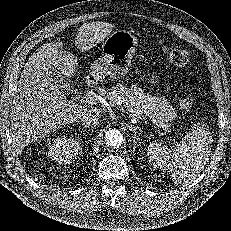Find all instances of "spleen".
I'll return each mask as SVG.
<instances>
[{
    "instance_id": "3e777b00",
    "label": "spleen",
    "mask_w": 231,
    "mask_h": 231,
    "mask_svg": "<svg viewBox=\"0 0 231 231\" xmlns=\"http://www.w3.org/2000/svg\"><path fill=\"white\" fill-rule=\"evenodd\" d=\"M211 132L202 124L191 131L175 146L167 148L162 143L148 147L149 162L162 171H168L178 184L190 183L204 167L210 154Z\"/></svg>"
}]
</instances>
